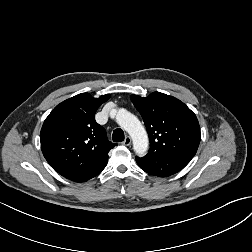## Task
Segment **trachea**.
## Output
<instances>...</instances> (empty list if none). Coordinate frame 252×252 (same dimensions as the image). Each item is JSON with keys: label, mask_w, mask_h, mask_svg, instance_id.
Wrapping results in <instances>:
<instances>
[{"label": "trachea", "mask_w": 252, "mask_h": 252, "mask_svg": "<svg viewBox=\"0 0 252 252\" xmlns=\"http://www.w3.org/2000/svg\"><path fill=\"white\" fill-rule=\"evenodd\" d=\"M112 139L114 142H122L124 140V132L122 129H115L112 134Z\"/></svg>", "instance_id": "3493384b"}]
</instances>
